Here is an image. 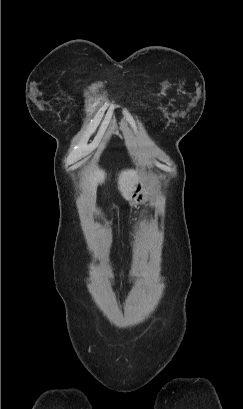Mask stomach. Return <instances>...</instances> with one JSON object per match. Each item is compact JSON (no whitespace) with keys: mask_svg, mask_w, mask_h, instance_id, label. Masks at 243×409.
I'll list each match as a JSON object with an SVG mask.
<instances>
[{"mask_svg":"<svg viewBox=\"0 0 243 409\" xmlns=\"http://www.w3.org/2000/svg\"><path fill=\"white\" fill-rule=\"evenodd\" d=\"M153 191V184L149 177L139 178L129 196L131 204H142L150 200Z\"/></svg>","mask_w":243,"mask_h":409,"instance_id":"stomach-1","label":"stomach"}]
</instances>
